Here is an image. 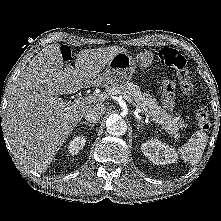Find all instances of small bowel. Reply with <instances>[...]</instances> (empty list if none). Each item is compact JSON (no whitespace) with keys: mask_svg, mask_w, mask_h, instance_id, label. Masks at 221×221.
I'll return each instance as SVG.
<instances>
[{"mask_svg":"<svg viewBox=\"0 0 221 221\" xmlns=\"http://www.w3.org/2000/svg\"><path fill=\"white\" fill-rule=\"evenodd\" d=\"M162 105L165 109H171L174 105V92H164L162 95Z\"/></svg>","mask_w":221,"mask_h":221,"instance_id":"1","label":"small bowel"}]
</instances>
